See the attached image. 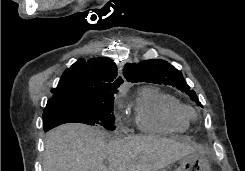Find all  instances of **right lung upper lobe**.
<instances>
[{
    "mask_svg": "<svg viewBox=\"0 0 245 171\" xmlns=\"http://www.w3.org/2000/svg\"><path fill=\"white\" fill-rule=\"evenodd\" d=\"M122 83L121 77L117 78V66L110 58H94L87 62L79 59L64 71L58 86L51 90L53 96L48 102L114 96Z\"/></svg>",
    "mask_w": 245,
    "mask_h": 171,
    "instance_id": "right-lung-upper-lobe-1",
    "label": "right lung upper lobe"
}]
</instances>
